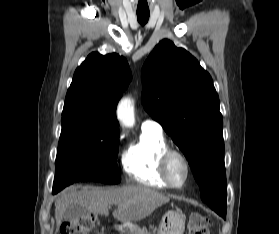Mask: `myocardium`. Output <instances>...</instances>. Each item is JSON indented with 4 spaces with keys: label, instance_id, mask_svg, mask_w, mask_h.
Segmentation results:
<instances>
[{
    "label": "myocardium",
    "instance_id": "obj_1",
    "mask_svg": "<svg viewBox=\"0 0 279 234\" xmlns=\"http://www.w3.org/2000/svg\"><path fill=\"white\" fill-rule=\"evenodd\" d=\"M174 157L180 159L182 161V163L184 164V168H185L184 180L179 184L175 183L171 179L170 174H169V165H170L171 160ZM159 170H160V175H161L163 181L168 185V187L174 188V189L182 188L188 182L190 175H191V166H190L189 160L186 157V155L184 153H182L181 151L170 148V147L165 149L160 156Z\"/></svg>",
    "mask_w": 279,
    "mask_h": 234
}]
</instances>
